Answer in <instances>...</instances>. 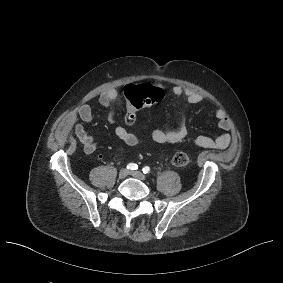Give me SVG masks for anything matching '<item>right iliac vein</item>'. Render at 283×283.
<instances>
[{"mask_svg": "<svg viewBox=\"0 0 283 283\" xmlns=\"http://www.w3.org/2000/svg\"><path fill=\"white\" fill-rule=\"evenodd\" d=\"M128 174H129V170L124 168L120 171L119 178L124 179L128 176Z\"/></svg>", "mask_w": 283, "mask_h": 283, "instance_id": "1", "label": "right iliac vein"}]
</instances>
